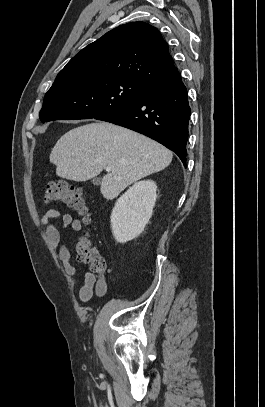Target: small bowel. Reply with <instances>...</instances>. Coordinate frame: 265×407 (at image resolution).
Returning a JSON list of instances; mask_svg holds the SVG:
<instances>
[{
  "label": "small bowel",
  "instance_id": "1",
  "mask_svg": "<svg viewBox=\"0 0 265 407\" xmlns=\"http://www.w3.org/2000/svg\"><path fill=\"white\" fill-rule=\"evenodd\" d=\"M40 223L45 230L49 243L56 251L59 261L63 265L65 275L74 279L76 276V268L71 263V254L67 246L62 242L60 226L70 228L74 232H79L82 229V222L79 219H74L70 214H61L57 209H49L40 219ZM106 269L96 272H88L85 274L84 283L79 290V299L81 302H88L95 293L98 296H103L107 290L105 279Z\"/></svg>",
  "mask_w": 265,
  "mask_h": 407
}]
</instances>
